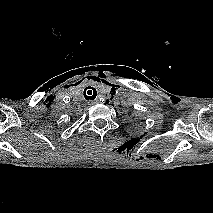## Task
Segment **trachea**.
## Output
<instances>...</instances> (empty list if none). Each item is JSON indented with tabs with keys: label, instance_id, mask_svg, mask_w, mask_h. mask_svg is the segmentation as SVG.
<instances>
[{
	"label": "trachea",
	"instance_id": "obj_1",
	"mask_svg": "<svg viewBox=\"0 0 213 213\" xmlns=\"http://www.w3.org/2000/svg\"><path fill=\"white\" fill-rule=\"evenodd\" d=\"M88 89V90H87ZM86 90H87V93H86ZM85 90V93H84V97L87 99V100H93L95 99L96 95H97V91L95 88L93 87H88L86 88Z\"/></svg>",
	"mask_w": 213,
	"mask_h": 213
}]
</instances>
